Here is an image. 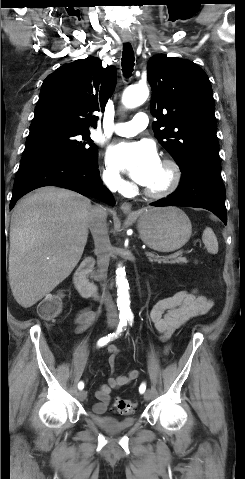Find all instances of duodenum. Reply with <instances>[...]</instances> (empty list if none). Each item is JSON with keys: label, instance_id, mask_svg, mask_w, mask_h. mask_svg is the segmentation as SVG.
Listing matches in <instances>:
<instances>
[{"label": "duodenum", "instance_id": "410a0bca", "mask_svg": "<svg viewBox=\"0 0 245 479\" xmlns=\"http://www.w3.org/2000/svg\"><path fill=\"white\" fill-rule=\"evenodd\" d=\"M94 266L92 258L85 259L74 274V285L83 297L98 298V287L88 278V274Z\"/></svg>", "mask_w": 245, "mask_h": 479}]
</instances>
